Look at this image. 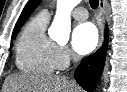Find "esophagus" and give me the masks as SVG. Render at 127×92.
I'll use <instances>...</instances> for the list:
<instances>
[{
	"label": "esophagus",
	"mask_w": 127,
	"mask_h": 92,
	"mask_svg": "<svg viewBox=\"0 0 127 92\" xmlns=\"http://www.w3.org/2000/svg\"><path fill=\"white\" fill-rule=\"evenodd\" d=\"M106 5H107V0H99V8H100V11L103 14H105ZM104 22H105V18L103 16L102 25H101V36H100L99 47L102 46V43H103V40H104Z\"/></svg>",
	"instance_id": "1"
}]
</instances>
